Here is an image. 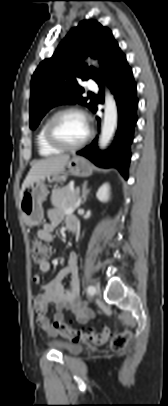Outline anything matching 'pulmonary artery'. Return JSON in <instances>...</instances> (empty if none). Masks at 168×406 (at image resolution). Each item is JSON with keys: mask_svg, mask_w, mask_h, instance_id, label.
<instances>
[{"mask_svg": "<svg viewBox=\"0 0 168 406\" xmlns=\"http://www.w3.org/2000/svg\"><path fill=\"white\" fill-rule=\"evenodd\" d=\"M87 88L89 89V90H92V91H97V89H98V87H97V84L95 83V81L93 80V79H89L88 81H87Z\"/></svg>", "mask_w": 168, "mask_h": 406, "instance_id": "obj_1", "label": "pulmonary artery"}]
</instances>
